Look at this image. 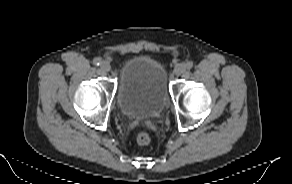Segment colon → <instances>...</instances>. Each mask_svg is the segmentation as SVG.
<instances>
[{"label": "colon", "instance_id": "5ec220e1", "mask_svg": "<svg viewBox=\"0 0 292 184\" xmlns=\"http://www.w3.org/2000/svg\"><path fill=\"white\" fill-rule=\"evenodd\" d=\"M136 141L140 146H148L152 142V138L148 132L142 131L137 134Z\"/></svg>", "mask_w": 292, "mask_h": 184}]
</instances>
